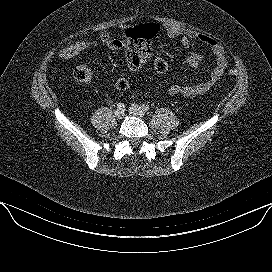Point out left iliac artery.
Here are the masks:
<instances>
[{"label":"left iliac artery","mask_w":272,"mask_h":272,"mask_svg":"<svg viewBox=\"0 0 272 272\" xmlns=\"http://www.w3.org/2000/svg\"><path fill=\"white\" fill-rule=\"evenodd\" d=\"M142 108H143L145 111H149V110H150V107H149V105H147V104H143V105H142Z\"/></svg>","instance_id":"left-iliac-artery-1"}]
</instances>
